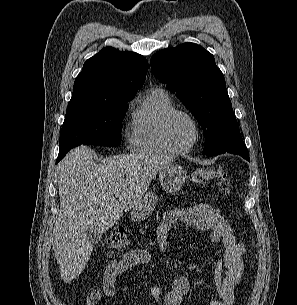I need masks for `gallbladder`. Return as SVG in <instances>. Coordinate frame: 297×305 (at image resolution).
Returning a JSON list of instances; mask_svg holds the SVG:
<instances>
[{
  "instance_id": "bac80fb5",
  "label": "gallbladder",
  "mask_w": 297,
  "mask_h": 305,
  "mask_svg": "<svg viewBox=\"0 0 297 305\" xmlns=\"http://www.w3.org/2000/svg\"><path fill=\"white\" fill-rule=\"evenodd\" d=\"M102 235L103 232L97 225H90L86 231V237L92 244L98 243Z\"/></svg>"
}]
</instances>
